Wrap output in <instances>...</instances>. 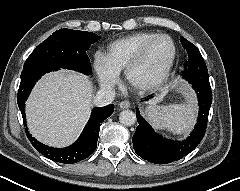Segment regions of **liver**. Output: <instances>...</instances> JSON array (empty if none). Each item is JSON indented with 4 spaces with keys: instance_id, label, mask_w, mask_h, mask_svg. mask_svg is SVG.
Returning a JSON list of instances; mask_svg holds the SVG:
<instances>
[{
    "instance_id": "liver-1",
    "label": "liver",
    "mask_w": 240,
    "mask_h": 191,
    "mask_svg": "<svg viewBox=\"0 0 240 191\" xmlns=\"http://www.w3.org/2000/svg\"><path fill=\"white\" fill-rule=\"evenodd\" d=\"M92 98L89 77L68 70L46 74L26 103L30 133L52 147L72 144L90 117Z\"/></svg>"
}]
</instances>
